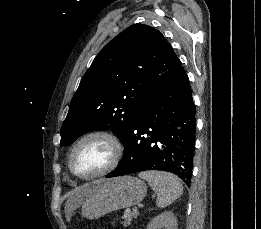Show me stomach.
<instances>
[{"mask_svg": "<svg viewBox=\"0 0 261 229\" xmlns=\"http://www.w3.org/2000/svg\"><path fill=\"white\" fill-rule=\"evenodd\" d=\"M89 197L83 201L81 215L86 219H100L107 213L133 207L143 201L147 187L137 177L96 179L86 183Z\"/></svg>", "mask_w": 261, "mask_h": 229, "instance_id": "0dacf381", "label": "stomach"}]
</instances>
